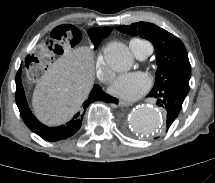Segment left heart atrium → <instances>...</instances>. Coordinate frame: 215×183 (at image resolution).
Wrapping results in <instances>:
<instances>
[{
	"mask_svg": "<svg viewBox=\"0 0 215 183\" xmlns=\"http://www.w3.org/2000/svg\"><path fill=\"white\" fill-rule=\"evenodd\" d=\"M150 78L142 72L126 73L116 78L110 87L113 95L125 100H136L148 91Z\"/></svg>",
	"mask_w": 215,
	"mask_h": 183,
	"instance_id": "1",
	"label": "left heart atrium"
}]
</instances>
